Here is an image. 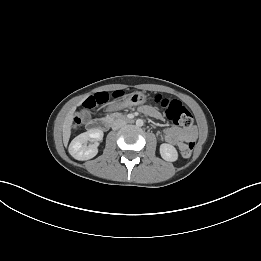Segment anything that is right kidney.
I'll return each instance as SVG.
<instances>
[{
    "label": "right kidney",
    "mask_w": 261,
    "mask_h": 261,
    "mask_svg": "<svg viewBox=\"0 0 261 261\" xmlns=\"http://www.w3.org/2000/svg\"><path fill=\"white\" fill-rule=\"evenodd\" d=\"M103 139V131L90 129L75 137L69 145V153L76 160H89L98 153V142ZM90 141L92 144L86 145Z\"/></svg>",
    "instance_id": "obj_1"
}]
</instances>
